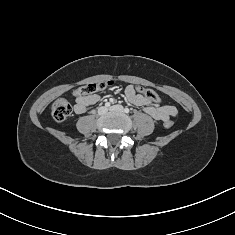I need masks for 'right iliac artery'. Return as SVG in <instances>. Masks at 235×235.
<instances>
[{
    "label": "right iliac artery",
    "instance_id": "1",
    "mask_svg": "<svg viewBox=\"0 0 235 235\" xmlns=\"http://www.w3.org/2000/svg\"><path fill=\"white\" fill-rule=\"evenodd\" d=\"M105 107H110V103L109 102H107V103H105Z\"/></svg>",
    "mask_w": 235,
    "mask_h": 235
}]
</instances>
